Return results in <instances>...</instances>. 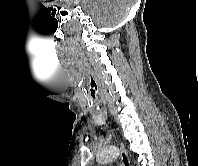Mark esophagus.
I'll return each instance as SVG.
<instances>
[{"label": "esophagus", "instance_id": "34e87169", "mask_svg": "<svg viewBox=\"0 0 198 166\" xmlns=\"http://www.w3.org/2000/svg\"><path fill=\"white\" fill-rule=\"evenodd\" d=\"M120 159L123 166H131L130 158L122 142L120 143Z\"/></svg>", "mask_w": 198, "mask_h": 166}]
</instances>
